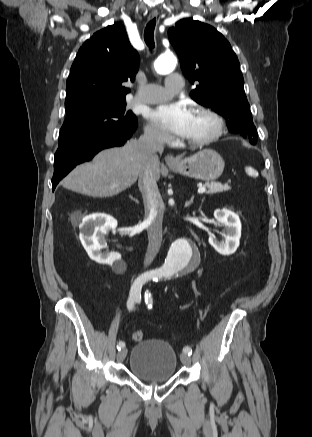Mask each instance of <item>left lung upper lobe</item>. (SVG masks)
Masks as SVG:
<instances>
[{
  "label": "left lung upper lobe",
  "mask_w": 312,
  "mask_h": 437,
  "mask_svg": "<svg viewBox=\"0 0 312 437\" xmlns=\"http://www.w3.org/2000/svg\"><path fill=\"white\" fill-rule=\"evenodd\" d=\"M184 75L197 86L191 97L229 119L232 132L248 137L255 144L257 130L253 124L244 91L239 61L230 43L214 27L182 19L168 31Z\"/></svg>",
  "instance_id": "5c2ea615"
}]
</instances>
